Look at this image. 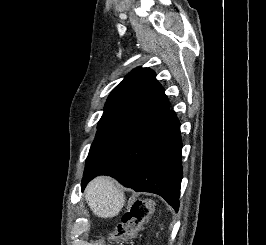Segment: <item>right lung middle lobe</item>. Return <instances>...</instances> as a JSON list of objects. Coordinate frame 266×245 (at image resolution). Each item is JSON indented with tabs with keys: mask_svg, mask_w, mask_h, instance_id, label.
<instances>
[{
	"mask_svg": "<svg viewBox=\"0 0 266 245\" xmlns=\"http://www.w3.org/2000/svg\"><path fill=\"white\" fill-rule=\"evenodd\" d=\"M143 122L135 119L102 116L98 124L96 138L86 160L85 170L89 169L98 159L117 146Z\"/></svg>",
	"mask_w": 266,
	"mask_h": 245,
	"instance_id": "right-lung-middle-lobe-1",
	"label": "right lung middle lobe"
}]
</instances>
